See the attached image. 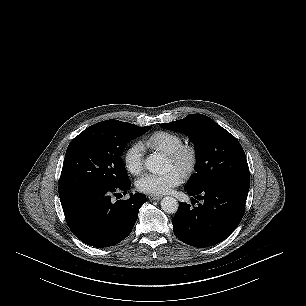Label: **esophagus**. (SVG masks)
I'll return each mask as SVG.
<instances>
[{
  "label": "esophagus",
  "mask_w": 306,
  "mask_h": 306,
  "mask_svg": "<svg viewBox=\"0 0 306 306\" xmlns=\"http://www.w3.org/2000/svg\"><path fill=\"white\" fill-rule=\"evenodd\" d=\"M148 198L152 201H155V200H160L162 199V196H158V195H149Z\"/></svg>",
  "instance_id": "1"
}]
</instances>
